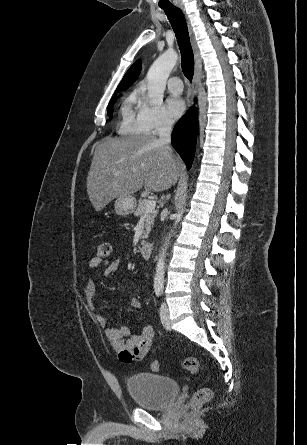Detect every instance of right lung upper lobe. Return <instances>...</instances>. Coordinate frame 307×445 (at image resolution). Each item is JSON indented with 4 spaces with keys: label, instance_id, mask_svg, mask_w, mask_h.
Here are the masks:
<instances>
[{
    "label": "right lung upper lobe",
    "instance_id": "1",
    "mask_svg": "<svg viewBox=\"0 0 307 445\" xmlns=\"http://www.w3.org/2000/svg\"><path fill=\"white\" fill-rule=\"evenodd\" d=\"M141 64L140 61H136L130 69L126 72L124 75L122 81L120 82L119 86L116 89V92H120L129 86L132 85V83L137 79L139 73H140ZM116 98H114L112 101H115Z\"/></svg>",
    "mask_w": 307,
    "mask_h": 445
}]
</instances>
